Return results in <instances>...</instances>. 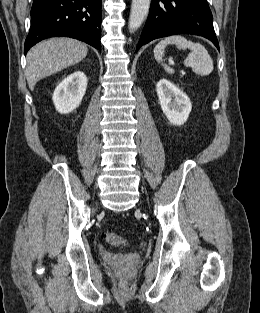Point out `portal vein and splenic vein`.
Listing matches in <instances>:
<instances>
[{
  "mask_svg": "<svg viewBox=\"0 0 260 313\" xmlns=\"http://www.w3.org/2000/svg\"><path fill=\"white\" fill-rule=\"evenodd\" d=\"M181 74H182V75H185V72H184V71H181Z\"/></svg>",
  "mask_w": 260,
  "mask_h": 313,
  "instance_id": "obj_1",
  "label": "portal vein and splenic vein"
}]
</instances>
